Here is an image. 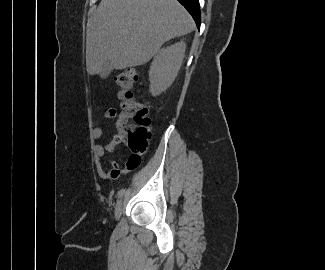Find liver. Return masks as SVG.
<instances>
[{
    "label": "liver",
    "instance_id": "1",
    "mask_svg": "<svg viewBox=\"0 0 325 270\" xmlns=\"http://www.w3.org/2000/svg\"><path fill=\"white\" fill-rule=\"evenodd\" d=\"M194 21L177 0H101L87 21L86 66L102 74L150 61L161 46L190 33Z\"/></svg>",
    "mask_w": 325,
    "mask_h": 270
}]
</instances>
